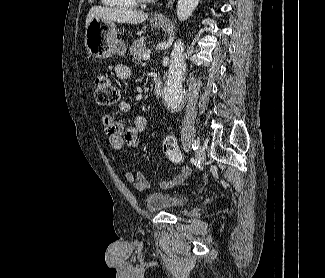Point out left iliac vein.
<instances>
[{
	"label": "left iliac vein",
	"instance_id": "left-iliac-vein-1",
	"mask_svg": "<svg viewBox=\"0 0 325 278\" xmlns=\"http://www.w3.org/2000/svg\"><path fill=\"white\" fill-rule=\"evenodd\" d=\"M206 157L205 150L202 146H198V149L196 151V158L199 162H204Z\"/></svg>",
	"mask_w": 325,
	"mask_h": 278
}]
</instances>
